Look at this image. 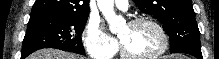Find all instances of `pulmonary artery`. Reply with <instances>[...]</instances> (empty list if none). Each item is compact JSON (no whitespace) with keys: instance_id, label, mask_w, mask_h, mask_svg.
I'll return each instance as SVG.
<instances>
[{"instance_id":"obj_1","label":"pulmonary artery","mask_w":219,"mask_h":59,"mask_svg":"<svg viewBox=\"0 0 219 59\" xmlns=\"http://www.w3.org/2000/svg\"><path fill=\"white\" fill-rule=\"evenodd\" d=\"M114 3L121 10H127L129 6V2L126 0H116Z\"/></svg>"}]
</instances>
